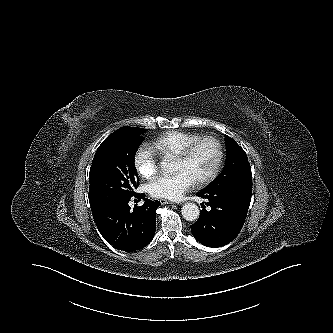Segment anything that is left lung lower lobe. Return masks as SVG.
<instances>
[{"label":"left lung lower lobe","mask_w":333,"mask_h":333,"mask_svg":"<svg viewBox=\"0 0 333 333\" xmlns=\"http://www.w3.org/2000/svg\"><path fill=\"white\" fill-rule=\"evenodd\" d=\"M207 199L197 222L191 225L194 237L208 247H221L230 243L244 224L251 199L229 193L222 186L207 187L197 193Z\"/></svg>","instance_id":"left-lung-lower-lobe-1"}]
</instances>
